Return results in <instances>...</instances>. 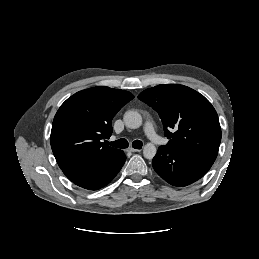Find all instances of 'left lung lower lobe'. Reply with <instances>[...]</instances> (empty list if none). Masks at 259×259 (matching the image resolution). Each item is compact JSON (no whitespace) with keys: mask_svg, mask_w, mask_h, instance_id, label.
Segmentation results:
<instances>
[{"mask_svg":"<svg viewBox=\"0 0 259 259\" xmlns=\"http://www.w3.org/2000/svg\"><path fill=\"white\" fill-rule=\"evenodd\" d=\"M215 155L179 153L160 146L152 165L157 174L174 186H187L204 176L213 165Z\"/></svg>","mask_w":259,"mask_h":259,"instance_id":"obj_1","label":"left lung lower lobe"}]
</instances>
